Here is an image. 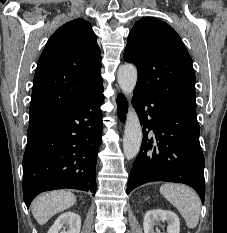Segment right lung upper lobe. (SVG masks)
Listing matches in <instances>:
<instances>
[{"label": "right lung upper lobe", "instance_id": "1", "mask_svg": "<svg viewBox=\"0 0 227 233\" xmlns=\"http://www.w3.org/2000/svg\"><path fill=\"white\" fill-rule=\"evenodd\" d=\"M101 52L91 24L79 18L48 40L37 64L30 103L34 124L102 87Z\"/></svg>", "mask_w": 227, "mask_h": 233}]
</instances>
